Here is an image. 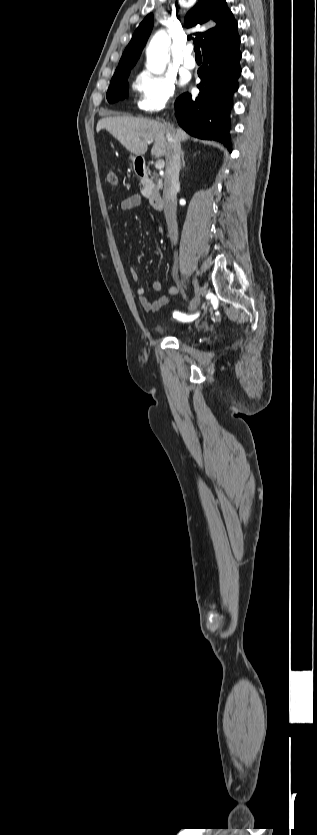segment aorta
<instances>
[{
	"mask_svg": "<svg viewBox=\"0 0 317 835\" xmlns=\"http://www.w3.org/2000/svg\"><path fill=\"white\" fill-rule=\"evenodd\" d=\"M171 39L165 30L158 31L151 39L147 50V69L156 75L162 74L170 60Z\"/></svg>",
	"mask_w": 317,
	"mask_h": 835,
	"instance_id": "obj_1",
	"label": "aorta"
}]
</instances>
